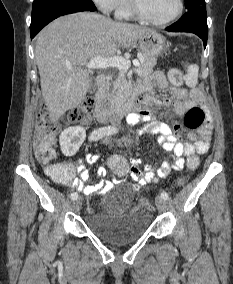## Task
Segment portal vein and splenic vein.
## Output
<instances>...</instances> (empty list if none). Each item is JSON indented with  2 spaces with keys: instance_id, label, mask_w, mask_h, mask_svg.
Returning <instances> with one entry per match:
<instances>
[{
  "instance_id": "18ae733b",
  "label": "portal vein and splenic vein",
  "mask_w": 233,
  "mask_h": 284,
  "mask_svg": "<svg viewBox=\"0 0 233 284\" xmlns=\"http://www.w3.org/2000/svg\"><path fill=\"white\" fill-rule=\"evenodd\" d=\"M133 65L139 66L140 62L138 60L133 61ZM86 67L88 69H106L109 67H115L120 70H128L131 67V62L120 56H114L111 58L95 57L91 59ZM68 69H72V66H68Z\"/></svg>"
}]
</instances>
